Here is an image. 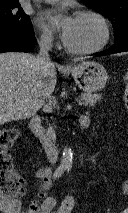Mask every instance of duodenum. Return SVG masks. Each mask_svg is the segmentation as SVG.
<instances>
[{
	"label": "duodenum",
	"mask_w": 128,
	"mask_h": 213,
	"mask_svg": "<svg viewBox=\"0 0 128 213\" xmlns=\"http://www.w3.org/2000/svg\"><path fill=\"white\" fill-rule=\"evenodd\" d=\"M80 129L86 130L89 126V118L87 116H81L79 120ZM30 129L33 134L40 140L47 157L51 161H56L59 155V149L55 144L53 135L46 131L41 124L39 116H33L30 120Z\"/></svg>",
	"instance_id": "1"
}]
</instances>
